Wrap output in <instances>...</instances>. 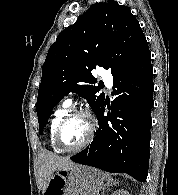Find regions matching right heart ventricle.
<instances>
[{
	"label": "right heart ventricle",
	"mask_w": 178,
	"mask_h": 195,
	"mask_svg": "<svg viewBox=\"0 0 178 195\" xmlns=\"http://www.w3.org/2000/svg\"><path fill=\"white\" fill-rule=\"evenodd\" d=\"M70 104L66 102H62L53 112L50 123H49V131H48V136H49V143L51 148L55 152H62V150L55 144L54 142V134L57 125L61 121V119L68 113Z\"/></svg>",
	"instance_id": "obj_1"
}]
</instances>
